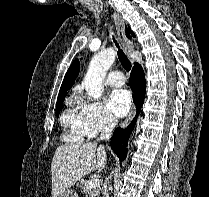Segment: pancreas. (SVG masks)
Instances as JSON below:
<instances>
[{
  "label": "pancreas",
  "mask_w": 209,
  "mask_h": 197,
  "mask_svg": "<svg viewBox=\"0 0 209 197\" xmlns=\"http://www.w3.org/2000/svg\"><path fill=\"white\" fill-rule=\"evenodd\" d=\"M92 179V177L89 180H81L80 183L77 185L80 186V189L83 191V193L86 194V197H96L100 192V187L97 186L94 189L89 188V181Z\"/></svg>",
  "instance_id": "pancreas-1"
}]
</instances>
